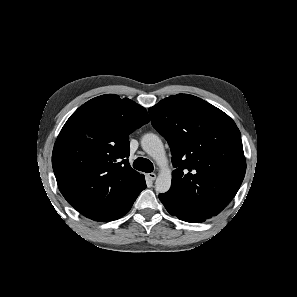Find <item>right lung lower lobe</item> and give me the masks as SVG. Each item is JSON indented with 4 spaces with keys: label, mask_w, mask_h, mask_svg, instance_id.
Returning a JSON list of instances; mask_svg holds the SVG:
<instances>
[{
    "label": "right lung lower lobe",
    "mask_w": 297,
    "mask_h": 297,
    "mask_svg": "<svg viewBox=\"0 0 297 297\" xmlns=\"http://www.w3.org/2000/svg\"><path fill=\"white\" fill-rule=\"evenodd\" d=\"M146 188L145 179L143 180L135 187L133 192L124 200V202L115 210V212L107 217L104 221H112L121 218L124 216L132 207L134 201L140 194L142 190ZM103 222V221H102Z\"/></svg>",
    "instance_id": "right-lung-lower-lobe-1"
}]
</instances>
